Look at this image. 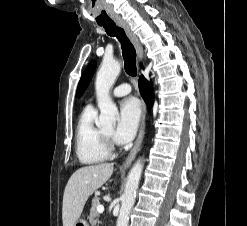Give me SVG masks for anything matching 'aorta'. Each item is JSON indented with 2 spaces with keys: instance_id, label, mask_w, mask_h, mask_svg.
<instances>
[{
  "instance_id": "aorta-1",
  "label": "aorta",
  "mask_w": 247,
  "mask_h": 226,
  "mask_svg": "<svg viewBox=\"0 0 247 226\" xmlns=\"http://www.w3.org/2000/svg\"><path fill=\"white\" fill-rule=\"evenodd\" d=\"M121 70V65L116 60L103 61L99 69L96 81V97L100 116L97 125L106 127L115 125L118 117V109L110 97V89L113 86L116 78ZM143 170L142 160L139 159L131 168L127 177L124 193L121 198V209L118 216L116 226H127L130 211L135 203L136 191L139 186L141 174Z\"/></svg>"
}]
</instances>
